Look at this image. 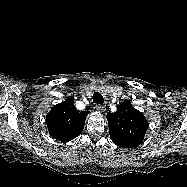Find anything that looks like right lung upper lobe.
<instances>
[{"mask_svg": "<svg viewBox=\"0 0 187 187\" xmlns=\"http://www.w3.org/2000/svg\"><path fill=\"white\" fill-rule=\"evenodd\" d=\"M89 111H77L71 98L55 105L46 115L50 135L56 140L68 142L79 136Z\"/></svg>", "mask_w": 187, "mask_h": 187, "instance_id": "obj_1", "label": "right lung upper lobe"}]
</instances>
